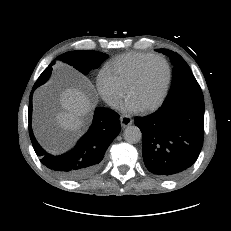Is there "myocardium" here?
Returning <instances> with one entry per match:
<instances>
[{
  "label": "myocardium",
  "mask_w": 231,
  "mask_h": 231,
  "mask_svg": "<svg viewBox=\"0 0 231 231\" xmlns=\"http://www.w3.org/2000/svg\"><path fill=\"white\" fill-rule=\"evenodd\" d=\"M153 60H160L164 63L165 67H166V71H167V75H166V80L163 86V89L159 95V97L157 98V100L155 102H153L150 105H147L143 108H141L142 111L148 112V111H153L155 109H157L164 101L167 92L169 90V86H170V81H171V68L169 63L167 62V60L161 56L158 55H152L151 57H149L148 59H146L144 62H142L139 67L137 68L134 76L132 77V79L130 80L127 88H126V94L129 97L131 91L133 90V88L137 85V83L139 82L143 70L145 69V67L147 66V64Z\"/></svg>",
  "instance_id": "1"
}]
</instances>
